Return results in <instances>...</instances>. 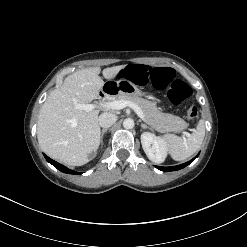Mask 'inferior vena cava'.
<instances>
[{
  "label": "inferior vena cava",
  "mask_w": 247,
  "mask_h": 247,
  "mask_svg": "<svg viewBox=\"0 0 247 247\" xmlns=\"http://www.w3.org/2000/svg\"><path fill=\"white\" fill-rule=\"evenodd\" d=\"M98 120L101 127L108 128L116 122L117 116L111 112H104L99 116Z\"/></svg>",
  "instance_id": "1"
}]
</instances>
